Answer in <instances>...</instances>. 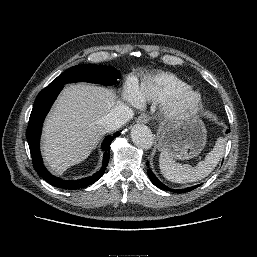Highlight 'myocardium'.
Returning a JSON list of instances; mask_svg holds the SVG:
<instances>
[{
	"label": "myocardium",
	"instance_id": "1",
	"mask_svg": "<svg viewBox=\"0 0 257 257\" xmlns=\"http://www.w3.org/2000/svg\"><path fill=\"white\" fill-rule=\"evenodd\" d=\"M202 102V93L196 88L187 86L166 99L167 115L171 118L192 116L200 109Z\"/></svg>",
	"mask_w": 257,
	"mask_h": 257
}]
</instances>
